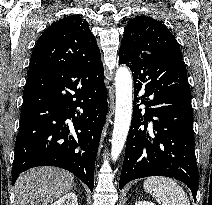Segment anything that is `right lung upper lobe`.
<instances>
[{
	"mask_svg": "<svg viewBox=\"0 0 212 205\" xmlns=\"http://www.w3.org/2000/svg\"><path fill=\"white\" fill-rule=\"evenodd\" d=\"M99 65L100 50L87 21L71 15L52 23L39 37L27 76L51 69Z\"/></svg>",
	"mask_w": 212,
	"mask_h": 205,
	"instance_id": "1",
	"label": "right lung upper lobe"
}]
</instances>
